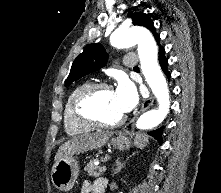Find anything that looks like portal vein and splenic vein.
<instances>
[{
    "instance_id": "obj_1",
    "label": "portal vein and splenic vein",
    "mask_w": 221,
    "mask_h": 193,
    "mask_svg": "<svg viewBox=\"0 0 221 193\" xmlns=\"http://www.w3.org/2000/svg\"><path fill=\"white\" fill-rule=\"evenodd\" d=\"M106 169H107L106 166H102V167L99 168V171H100V172H105Z\"/></svg>"
}]
</instances>
